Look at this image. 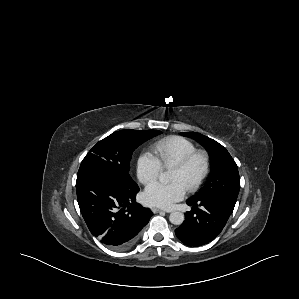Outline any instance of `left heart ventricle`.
I'll list each match as a JSON object with an SVG mask.
<instances>
[{
  "instance_id": "b2bd125f",
  "label": "left heart ventricle",
  "mask_w": 299,
  "mask_h": 299,
  "mask_svg": "<svg viewBox=\"0 0 299 299\" xmlns=\"http://www.w3.org/2000/svg\"><path fill=\"white\" fill-rule=\"evenodd\" d=\"M203 169V161L197 158L185 171L171 170L170 181L181 182L186 188L199 177Z\"/></svg>"
}]
</instances>
